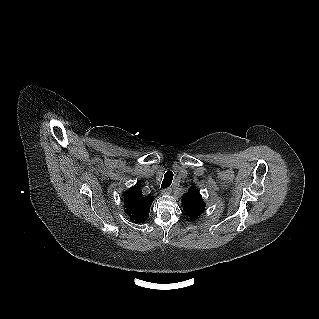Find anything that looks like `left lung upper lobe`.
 Instances as JSON below:
<instances>
[{
	"label": "left lung upper lobe",
	"instance_id": "obj_1",
	"mask_svg": "<svg viewBox=\"0 0 319 319\" xmlns=\"http://www.w3.org/2000/svg\"><path fill=\"white\" fill-rule=\"evenodd\" d=\"M183 209L191 218L195 219L205 210V203L198 190H189L182 198Z\"/></svg>",
	"mask_w": 319,
	"mask_h": 319
}]
</instances>
